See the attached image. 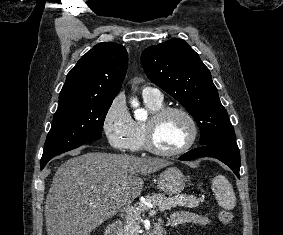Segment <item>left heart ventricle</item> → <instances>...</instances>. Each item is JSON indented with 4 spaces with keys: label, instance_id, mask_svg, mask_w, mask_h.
<instances>
[{
    "label": "left heart ventricle",
    "instance_id": "obj_1",
    "mask_svg": "<svg viewBox=\"0 0 283 235\" xmlns=\"http://www.w3.org/2000/svg\"><path fill=\"white\" fill-rule=\"evenodd\" d=\"M189 135L190 126L185 117L179 113H170L156 125L153 139L157 148L171 151L185 144Z\"/></svg>",
    "mask_w": 283,
    "mask_h": 235
}]
</instances>
